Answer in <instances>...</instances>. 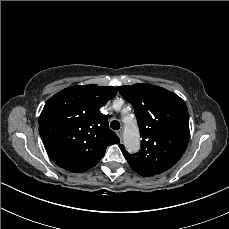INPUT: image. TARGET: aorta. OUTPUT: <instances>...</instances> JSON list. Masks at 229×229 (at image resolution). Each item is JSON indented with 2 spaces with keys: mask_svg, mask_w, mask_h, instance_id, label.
Masks as SVG:
<instances>
[{
  "mask_svg": "<svg viewBox=\"0 0 229 229\" xmlns=\"http://www.w3.org/2000/svg\"><path fill=\"white\" fill-rule=\"evenodd\" d=\"M124 144L127 150L136 152L140 146L138 127L134 122H128L124 129Z\"/></svg>",
  "mask_w": 229,
  "mask_h": 229,
  "instance_id": "762f6f07",
  "label": "aorta"
}]
</instances>
